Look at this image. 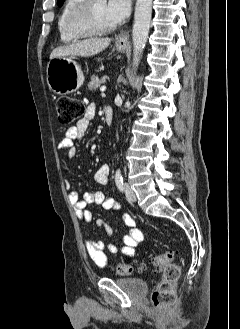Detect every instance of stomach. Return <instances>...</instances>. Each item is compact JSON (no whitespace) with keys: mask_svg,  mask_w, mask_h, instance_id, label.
<instances>
[{"mask_svg":"<svg viewBox=\"0 0 240 329\" xmlns=\"http://www.w3.org/2000/svg\"><path fill=\"white\" fill-rule=\"evenodd\" d=\"M116 49L124 52L125 45L116 43ZM84 74L73 57L63 56L50 59L47 65V83L57 95H66L77 91L84 82Z\"/></svg>","mask_w":240,"mask_h":329,"instance_id":"1","label":"stomach"}]
</instances>
